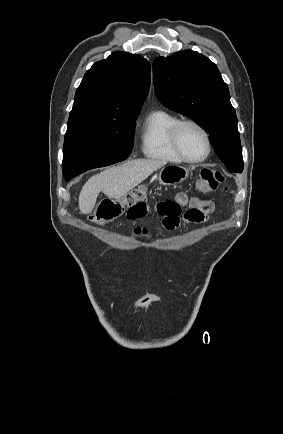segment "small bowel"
I'll return each mask as SVG.
<instances>
[{
	"label": "small bowel",
	"mask_w": 283,
	"mask_h": 434,
	"mask_svg": "<svg viewBox=\"0 0 283 434\" xmlns=\"http://www.w3.org/2000/svg\"><path fill=\"white\" fill-rule=\"evenodd\" d=\"M183 208H187L182 212ZM213 211V203L209 200L192 198L188 194L179 193L174 199L161 200L154 205L140 201L127 210L129 220L144 218L149 213H157L163 218V225L168 230L177 229L182 222L200 223L206 220ZM135 234H147L145 229L138 228Z\"/></svg>",
	"instance_id": "c3829d8e"
}]
</instances>
